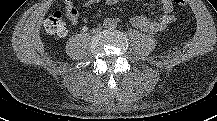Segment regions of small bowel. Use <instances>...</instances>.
<instances>
[{"label":"small bowel","instance_id":"obj_1","mask_svg":"<svg viewBox=\"0 0 217 121\" xmlns=\"http://www.w3.org/2000/svg\"><path fill=\"white\" fill-rule=\"evenodd\" d=\"M66 16L72 25H77L79 20V11L74 6L75 0H63ZM101 0H87L85 5H91L98 3ZM108 5H115L128 0H104ZM141 1V0H137ZM162 6V15L157 19L151 20L144 15H137L131 19L132 24L148 33H156L163 30L167 25L175 20V13L171 3V0H160Z\"/></svg>","mask_w":217,"mask_h":121}]
</instances>
